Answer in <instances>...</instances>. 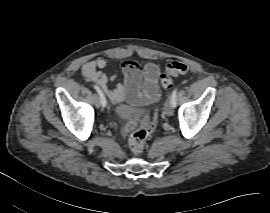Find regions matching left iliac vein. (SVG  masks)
Here are the masks:
<instances>
[{
	"label": "left iliac vein",
	"instance_id": "left-iliac-vein-1",
	"mask_svg": "<svg viewBox=\"0 0 270 213\" xmlns=\"http://www.w3.org/2000/svg\"><path fill=\"white\" fill-rule=\"evenodd\" d=\"M164 114L168 117L173 115V106L170 100H167L164 105Z\"/></svg>",
	"mask_w": 270,
	"mask_h": 213
}]
</instances>
